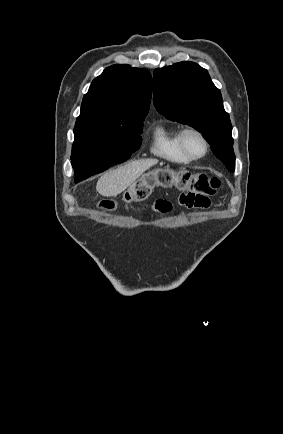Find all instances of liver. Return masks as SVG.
<instances>
[{"label":"liver","instance_id":"liver-1","mask_svg":"<svg viewBox=\"0 0 283 434\" xmlns=\"http://www.w3.org/2000/svg\"><path fill=\"white\" fill-rule=\"evenodd\" d=\"M156 159L132 161L105 173L97 182L96 190L102 196H117L131 186L147 169L156 165Z\"/></svg>","mask_w":283,"mask_h":434}]
</instances>
